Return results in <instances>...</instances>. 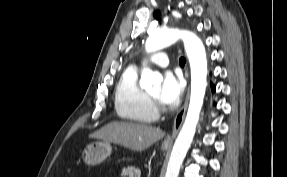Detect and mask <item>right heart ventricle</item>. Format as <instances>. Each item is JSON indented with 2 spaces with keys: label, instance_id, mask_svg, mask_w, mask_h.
<instances>
[{
  "label": "right heart ventricle",
  "instance_id": "1",
  "mask_svg": "<svg viewBox=\"0 0 287 177\" xmlns=\"http://www.w3.org/2000/svg\"><path fill=\"white\" fill-rule=\"evenodd\" d=\"M114 108L122 121L151 123L156 120L157 114L151 101L139 85L136 67L126 68L121 75L115 88Z\"/></svg>",
  "mask_w": 287,
  "mask_h": 177
}]
</instances>
